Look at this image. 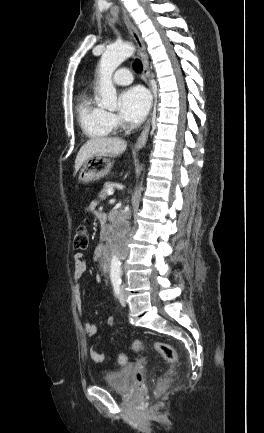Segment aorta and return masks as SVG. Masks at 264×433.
<instances>
[{
  "mask_svg": "<svg viewBox=\"0 0 264 433\" xmlns=\"http://www.w3.org/2000/svg\"><path fill=\"white\" fill-rule=\"evenodd\" d=\"M134 52L131 44L111 45L107 47L100 60L99 94L101 105L108 109L117 106V92L112 83V74L117 67ZM110 277L120 278L122 274L120 251L116 243L111 248Z\"/></svg>",
  "mask_w": 264,
  "mask_h": 433,
  "instance_id": "aorta-1",
  "label": "aorta"
}]
</instances>
